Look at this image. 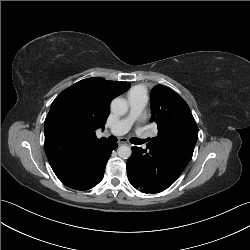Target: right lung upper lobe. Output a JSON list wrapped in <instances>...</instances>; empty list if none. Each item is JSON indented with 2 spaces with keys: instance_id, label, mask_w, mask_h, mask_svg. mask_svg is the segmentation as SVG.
Masks as SVG:
<instances>
[{
  "instance_id": "cb5924a9",
  "label": "right lung upper lobe",
  "mask_w": 250,
  "mask_h": 250,
  "mask_svg": "<svg viewBox=\"0 0 250 250\" xmlns=\"http://www.w3.org/2000/svg\"><path fill=\"white\" fill-rule=\"evenodd\" d=\"M129 83L87 78L62 91L45 119V152L59 180L68 187L82 184L90 174L88 162L95 150L107 142L98 139L113 98Z\"/></svg>"
}]
</instances>
